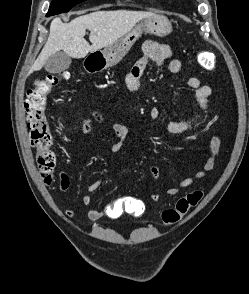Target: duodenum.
<instances>
[{"mask_svg": "<svg viewBox=\"0 0 249 294\" xmlns=\"http://www.w3.org/2000/svg\"><path fill=\"white\" fill-rule=\"evenodd\" d=\"M86 69L88 72L94 73L100 69V66L98 65H87Z\"/></svg>", "mask_w": 249, "mask_h": 294, "instance_id": "410a0bca", "label": "duodenum"}]
</instances>
